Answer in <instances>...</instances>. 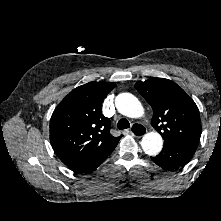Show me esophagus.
I'll list each match as a JSON object with an SVG mask.
<instances>
[{"mask_svg":"<svg viewBox=\"0 0 221 221\" xmlns=\"http://www.w3.org/2000/svg\"><path fill=\"white\" fill-rule=\"evenodd\" d=\"M130 133L136 138H141L145 135L146 130L142 125L134 124Z\"/></svg>","mask_w":221,"mask_h":221,"instance_id":"34e87169","label":"esophagus"}]
</instances>
